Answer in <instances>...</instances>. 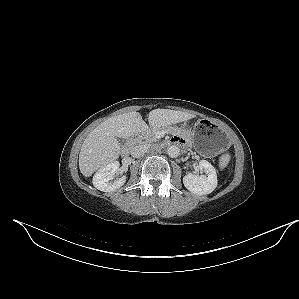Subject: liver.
Segmentation results:
<instances>
[{
  "mask_svg": "<svg viewBox=\"0 0 299 299\" xmlns=\"http://www.w3.org/2000/svg\"><path fill=\"white\" fill-rule=\"evenodd\" d=\"M195 115L170 109H154L149 113L150 127H164L194 118ZM148 125L139 112L123 113L105 120L85 138L80 154L79 169L85 176H91L99 168L115 161L120 155L121 145L117 138H129L144 132Z\"/></svg>",
  "mask_w": 299,
  "mask_h": 299,
  "instance_id": "liver-1",
  "label": "liver"
}]
</instances>
